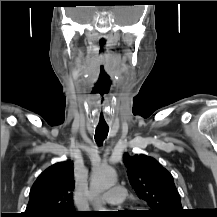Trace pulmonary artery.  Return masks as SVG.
I'll list each match as a JSON object with an SVG mask.
<instances>
[{"instance_id":"obj_1","label":"pulmonary artery","mask_w":217,"mask_h":217,"mask_svg":"<svg viewBox=\"0 0 217 217\" xmlns=\"http://www.w3.org/2000/svg\"><path fill=\"white\" fill-rule=\"evenodd\" d=\"M126 189L123 186H114L110 191L102 194L99 201L103 204L118 205L124 203Z\"/></svg>"}]
</instances>
